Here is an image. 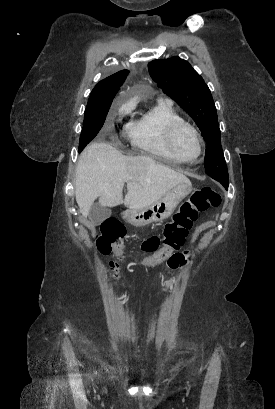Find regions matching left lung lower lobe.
<instances>
[{"label": "left lung lower lobe", "mask_w": 275, "mask_h": 409, "mask_svg": "<svg viewBox=\"0 0 275 409\" xmlns=\"http://www.w3.org/2000/svg\"><path fill=\"white\" fill-rule=\"evenodd\" d=\"M218 182H220L225 187V189H228V183L222 182V181H218Z\"/></svg>", "instance_id": "obj_1"}]
</instances>
